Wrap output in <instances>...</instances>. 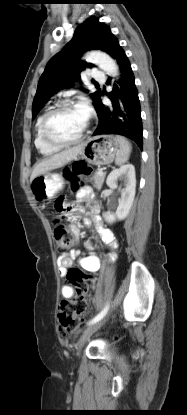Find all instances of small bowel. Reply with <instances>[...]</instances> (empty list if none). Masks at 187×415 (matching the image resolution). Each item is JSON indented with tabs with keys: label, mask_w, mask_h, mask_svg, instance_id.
Segmentation results:
<instances>
[{
	"label": "small bowel",
	"mask_w": 187,
	"mask_h": 415,
	"mask_svg": "<svg viewBox=\"0 0 187 415\" xmlns=\"http://www.w3.org/2000/svg\"><path fill=\"white\" fill-rule=\"evenodd\" d=\"M91 193L92 190L89 186H83L77 193V198L80 201H85L88 200L91 197ZM82 211L78 210V214H81ZM90 215L92 220L94 221V223L96 224L97 227V231L102 239V241L112 250L116 249L117 247V240L114 237V235L108 230L106 229L99 218L98 215V207L97 204L94 203L91 207V211H90ZM71 229L73 231V233L75 234V236L78 238L79 237V229L75 226L72 225ZM90 246V245H89ZM80 255V251L79 249H71L69 251V253L65 254V255H61L58 258V265H59V274L62 277L67 276V273L69 272V269L73 267V262L75 259H77ZM100 258L96 255L89 254L85 257H83L80 260V264L82 266V268L88 272H92L95 273L100 269ZM61 295L64 298H71L74 295V288L69 285L66 284L61 288Z\"/></svg>",
	"instance_id": "obj_1"
}]
</instances>
